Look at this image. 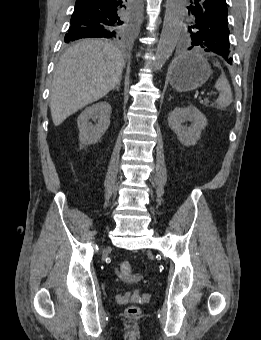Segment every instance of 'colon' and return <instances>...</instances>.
I'll use <instances>...</instances> for the list:
<instances>
[{"instance_id":"1","label":"colon","mask_w":261,"mask_h":340,"mask_svg":"<svg viewBox=\"0 0 261 340\" xmlns=\"http://www.w3.org/2000/svg\"><path fill=\"white\" fill-rule=\"evenodd\" d=\"M117 274L122 277V278H128L132 274V265L129 261H122L117 269H116ZM127 313L135 316L140 313V309L136 306H130L127 309Z\"/></svg>"}]
</instances>
